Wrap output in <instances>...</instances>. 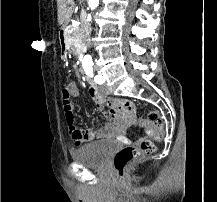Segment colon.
Listing matches in <instances>:
<instances>
[{"instance_id":"1","label":"colon","mask_w":217,"mask_h":202,"mask_svg":"<svg viewBox=\"0 0 217 202\" xmlns=\"http://www.w3.org/2000/svg\"><path fill=\"white\" fill-rule=\"evenodd\" d=\"M56 96H61V104L63 107L65 122L70 131H73L74 118L71 110V88L65 84L61 91H56ZM151 117V121L147 122L145 118H138V123L141 126H150L151 123L157 126V128H164V121L161 120L160 114L157 111H151L148 115ZM157 141L164 137L162 130L155 134ZM155 151V144L151 140H145L140 147L125 146L118 151L113 157V165L118 170L119 177H126V168L134 161L139 160L143 156L150 155Z\"/></svg>"}]
</instances>
